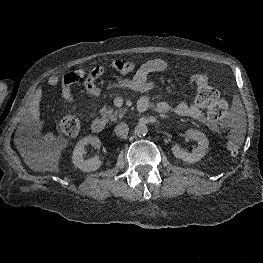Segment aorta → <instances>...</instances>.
I'll list each match as a JSON object with an SVG mask.
<instances>
[{
  "instance_id": "762f6f07",
  "label": "aorta",
  "mask_w": 263,
  "mask_h": 263,
  "mask_svg": "<svg viewBox=\"0 0 263 263\" xmlns=\"http://www.w3.org/2000/svg\"><path fill=\"white\" fill-rule=\"evenodd\" d=\"M134 132L139 137L145 136L148 133V127L143 123H139L136 125Z\"/></svg>"
}]
</instances>
